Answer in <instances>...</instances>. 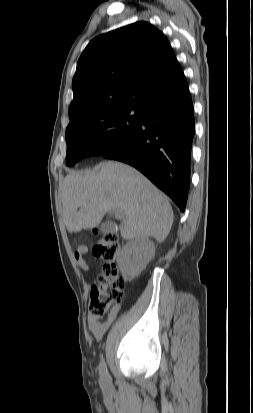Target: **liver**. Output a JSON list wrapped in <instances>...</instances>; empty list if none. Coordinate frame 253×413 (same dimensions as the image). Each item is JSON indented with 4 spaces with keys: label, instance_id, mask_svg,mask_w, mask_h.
<instances>
[{
    "label": "liver",
    "instance_id": "liver-1",
    "mask_svg": "<svg viewBox=\"0 0 253 413\" xmlns=\"http://www.w3.org/2000/svg\"><path fill=\"white\" fill-rule=\"evenodd\" d=\"M61 200L69 233L94 228L106 212L120 210L123 239L153 237L161 243L174 219L166 196L139 171L116 161L102 162L98 172H70Z\"/></svg>",
    "mask_w": 253,
    "mask_h": 413
}]
</instances>
